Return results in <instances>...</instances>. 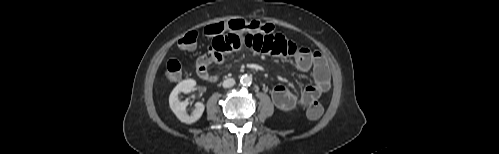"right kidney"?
<instances>
[{"mask_svg": "<svg viewBox=\"0 0 499 154\" xmlns=\"http://www.w3.org/2000/svg\"><path fill=\"white\" fill-rule=\"evenodd\" d=\"M196 85V81L193 79H186L181 81L177 86L172 90L169 97V105L171 110L174 112L176 117L184 123L191 124L199 120L204 112L205 106L203 103H196L195 110L191 115L186 113V106L188 105L187 101H179L178 95L181 92L189 93L194 90Z\"/></svg>", "mask_w": 499, "mask_h": 154, "instance_id": "obj_1", "label": "right kidney"}]
</instances>
